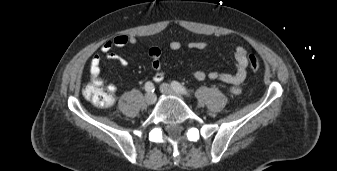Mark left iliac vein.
<instances>
[{"label": "left iliac vein", "instance_id": "left-iliac-vein-1", "mask_svg": "<svg viewBox=\"0 0 337 171\" xmlns=\"http://www.w3.org/2000/svg\"><path fill=\"white\" fill-rule=\"evenodd\" d=\"M160 90L162 93L167 95L176 96L178 98H182L180 94H178L169 84L163 83L160 85Z\"/></svg>", "mask_w": 337, "mask_h": 171}]
</instances>
